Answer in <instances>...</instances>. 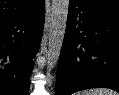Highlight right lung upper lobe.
<instances>
[{"label": "right lung upper lobe", "instance_id": "1", "mask_svg": "<svg viewBox=\"0 0 119 95\" xmlns=\"http://www.w3.org/2000/svg\"><path fill=\"white\" fill-rule=\"evenodd\" d=\"M41 0H0V23L33 9Z\"/></svg>", "mask_w": 119, "mask_h": 95}]
</instances>
